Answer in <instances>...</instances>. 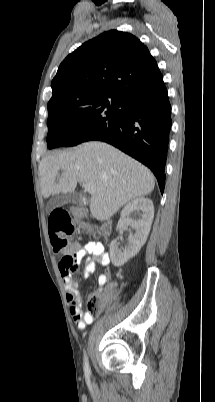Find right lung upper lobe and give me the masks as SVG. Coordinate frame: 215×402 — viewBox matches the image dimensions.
<instances>
[{
    "mask_svg": "<svg viewBox=\"0 0 215 402\" xmlns=\"http://www.w3.org/2000/svg\"><path fill=\"white\" fill-rule=\"evenodd\" d=\"M165 86L157 62L135 36L108 31L69 54L52 80V98L117 95L127 100Z\"/></svg>",
    "mask_w": 215,
    "mask_h": 402,
    "instance_id": "1",
    "label": "right lung upper lobe"
}]
</instances>
